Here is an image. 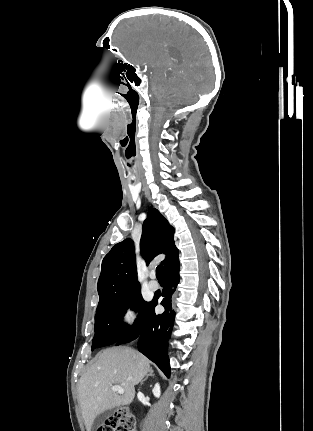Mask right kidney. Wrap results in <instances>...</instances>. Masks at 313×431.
Instances as JSON below:
<instances>
[{"label":"right kidney","instance_id":"1","mask_svg":"<svg viewBox=\"0 0 313 431\" xmlns=\"http://www.w3.org/2000/svg\"><path fill=\"white\" fill-rule=\"evenodd\" d=\"M152 393L156 398L160 397L161 391H160V385L158 383L155 384L154 388L152 389Z\"/></svg>","mask_w":313,"mask_h":431}]
</instances>
